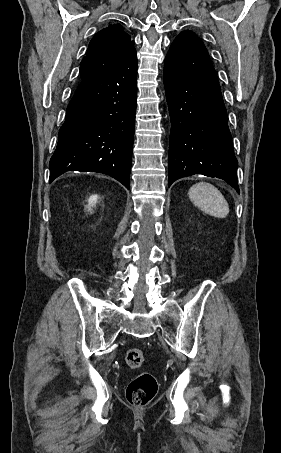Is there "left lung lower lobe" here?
I'll return each mask as SVG.
<instances>
[{"label":"left lung lower lobe","instance_id":"1","mask_svg":"<svg viewBox=\"0 0 281 453\" xmlns=\"http://www.w3.org/2000/svg\"><path fill=\"white\" fill-rule=\"evenodd\" d=\"M164 86L171 118L169 186L203 174L225 180L239 193L221 89L208 51L195 34L178 35L171 44Z\"/></svg>","mask_w":281,"mask_h":453}]
</instances>
